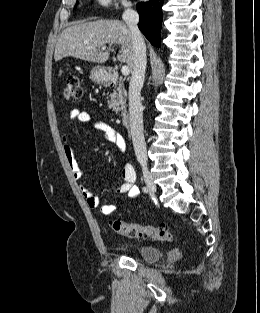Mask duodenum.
<instances>
[{"label": "duodenum", "mask_w": 260, "mask_h": 313, "mask_svg": "<svg viewBox=\"0 0 260 313\" xmlns=\"http://www.w3.org/2000/svg\"><path fill=\"white\" fill-rule=\"evenodd\" d=\"M105 82L110 87H114L117 85L118 77L114 71H112L110 69L106 70ZM121 122L124 126L129 125L130 117H129V113L126 110L122 111V113H121Z\"/></svg>", "instance_id": "obj_1"}]
</instances>
